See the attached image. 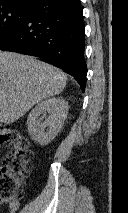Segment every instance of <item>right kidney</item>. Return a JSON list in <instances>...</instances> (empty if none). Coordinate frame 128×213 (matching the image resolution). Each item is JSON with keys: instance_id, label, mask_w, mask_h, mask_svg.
Here are the masks:
<instances>
[{"instance_id": "obj_1", "label": "right kidney", "mask_w": 128, "mask_h": 213, "mask_svg": "<svg viewBox=\"0 0 128 213\" xmlns=\"http://www.w3.org/2000/svg\"><path fill=\"white\" fill-rule=\"evenodd\" d=\"M68 110V102L59 97L38 103L27 118L28 133L32 140L42 146L49 144L61 131ZM45 112L49 115L42 122L39 116Z\"/></svg>"}]
</instances>
